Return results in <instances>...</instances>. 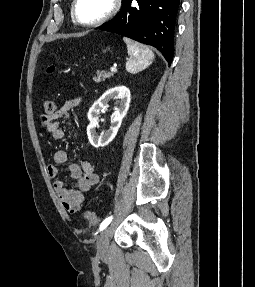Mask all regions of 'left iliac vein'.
I'll use <instances>...</instances> for the list:
<instances>
[{
	"label": "left iliac vein",
	"mask_w": 255,
	"mask_h": 287,
	"mask_svg": "<svg viewBox=\"0 0 255 287\" xmlns=\"http://www.w3.org/2000/svg\"><path fill=\"white\" fill-rule=\"evenodd\" d=\"M110 228H105L97 240V252L99 256H106L109 252Z\"/></svg>",
	"instance_id": "obj_1"
}]
</instances>
